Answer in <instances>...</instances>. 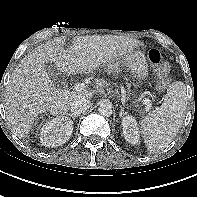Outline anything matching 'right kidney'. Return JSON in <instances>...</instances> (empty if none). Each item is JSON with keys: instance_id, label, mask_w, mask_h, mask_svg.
<instances>
[{"instance_id": "right-kidney-1", "label": "right kidney", "mask_w": 197, "mask_h": 197, "mask_svg": "<svg viewBox=\"0 0 197 197\" xmlns=\"http://www.w3.org/2000/svg\"><path fill=\"white\" fill-rule=\"evenodd\" d=\"M73 131V121L68 117H56L47 121L40 132L42 145L57 147L66 143Z\"/></svg>"}]
</instances>
